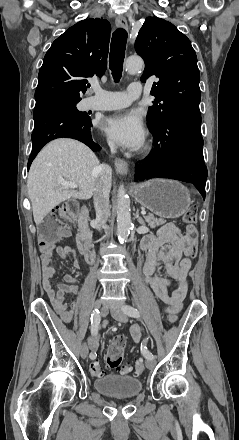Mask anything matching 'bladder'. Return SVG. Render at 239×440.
<instances>
[{"label": "bladder", "mask_w": 239, "mask_h": 440, "mask_svg": "<svg viewBox=\"0 0 239 440\" xmlns=\"http://www.w3.org/2000/svg\"><path fill=\"white\" fill-rule=\"evenodd\" d=\"M95 389L108 397L124 399L137 396L143 388L141 380L138 378L123 375H109L95 379Z\"/></svg>", "instance_id": "1"}]
</instances>
